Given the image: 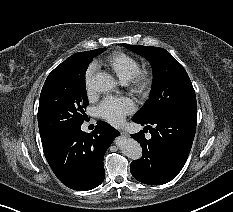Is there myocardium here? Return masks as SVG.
<instances>
[{
    "label": "myocardium",
    "instance_id": "1",
    "mask_svg": "<svg viewBox=\"0 0 233 212\" xmlns=\"http://www.w3.org/2000/svg\"><path fill=\"white\" fill-rule=\"evenodd\" d=\"M152 83V75L148 70H139L129 81L131 91L139 97L147 94Z\"/></svg>",
    "mask_w": 233,
    "mask_h": 212
}]
</instances>
